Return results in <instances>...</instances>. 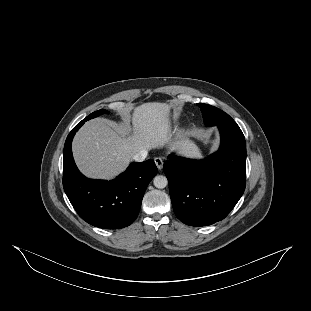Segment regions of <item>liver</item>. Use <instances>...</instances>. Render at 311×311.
I'll return each mask as SVG.
<instances>
[{
  "mask_svg": "<svg viewBox=\"0 0 311 311\" xmlns=\"http://www.w3.org/2000/svg\"><path fill=\"white\" fill-rule=\"evenodd\" d=\"M170 108L167 103H144L135 107L132 115L126 113L124 126L100 118L87 121L72 144L80 171L89 178L109 180L123 172L142 150L169 144L171 151L197 152L189 138L171 141Z\"/></svg>",
  "mask_w": 311,
  "mask_h": 311,
  "instance_id": "obj_1",
  "label": "liver"
}]
</instances>
